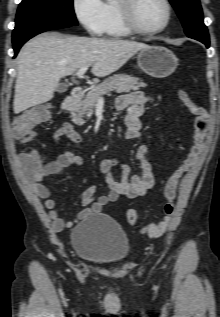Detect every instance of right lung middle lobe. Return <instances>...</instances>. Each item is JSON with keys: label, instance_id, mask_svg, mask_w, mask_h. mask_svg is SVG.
<instances>
[{"label": "right lung middle lobe", "instance_id": "obj_1", "mask_svg": "<svg viewBox=\"0 0 220 317\" xmlns=\"http://www.w3.org/2000/svg\"><path fill=\"white\" fill-rule=\"evenodd\" d=\"M45 23H64L76 26L72 0H23L19 4L13 36Z\"/></svg>", "mask_w": 220, "mask_h": 317}]
</instances>
